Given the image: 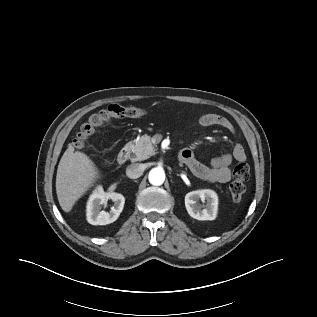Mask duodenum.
Returning a JSON list of instances; mask_svg holds the SVG:
<instances>
[{"label":"duodenum","instance_id":"duodenum-1","mask_svg":"<svg viewBox=\"0 0 317 317\" xmlns=\"http://www.w3.org/2000/svg\"><path fill=\"white\" fill-rule=\"evenodd\" d=\"M129 154H130V146L127 144V145L123 146L118 153V156H117L118 163L119 164L125 163L129 157ZM181 156H182V153H180L179 158H181Z\"/></svg>","mask_w":317,"mask_h":317}]
</instances>
